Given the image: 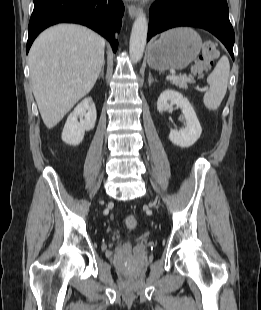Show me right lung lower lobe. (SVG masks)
Returning <instances> with one entry per match:
<instances>
[{
  "label": "right lung lower lobe",
  "mask_w": 261,
  "mask_h": 310,
  "mask_svg": "<svg viewBox=\"0 0 261 310\" xmlns=\"http://www.w3.org/2000/svg\"><path fill=\"white\" fill-rule=\"evenodd\" d=\"M123 12L121 0H34L26 53L41 31L61 22L88 26L105 37L115 52V33L120 31Z\"/></svg>",
  "instance_id": "obj_1"
}]
</instances>
